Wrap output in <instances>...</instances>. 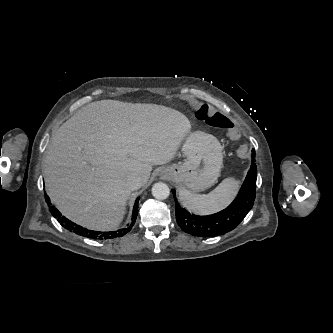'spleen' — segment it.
<instances>
[{
	"mask_svg": "<svg viewBox=\"0 0 333 333\" xmlns=\"http://www.w3.org/2000/svg\"><path fill=\"white\" fill-rule=\"evenodd\" d=\"M239 189V182L234 178L224 179L208 194H194L187 189L179 190V199L188 210L197 214H210L227 207Z\"/></svg>",
	"mask_w": 333,
	"mask_h": 333,
	"instance_id": "3e777b00",
	"label": "spleen"
}]
</instances>
